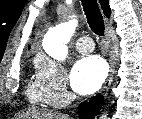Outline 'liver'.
Returning a JSON list of instances; mask_svg holds the SVG:
<instances>
[{
	"label": "liver",
	"instance_id": "1",
	"mask_svg": "<svg viewBox=\"0 0 142 119\" xmlns=\"http://www.w3.org/2000/svg\"><path fill=\"white\" fill-rule=\"evenodd\" d=\"M19 119H71L66 114L46 110L30 109L19 116Z\"/></svg>",
	"mask_w": 142,
	"mask_h": 119
}]
</instances>
